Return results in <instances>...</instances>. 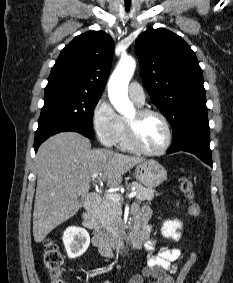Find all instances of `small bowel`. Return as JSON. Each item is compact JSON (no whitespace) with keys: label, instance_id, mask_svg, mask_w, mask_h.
Returning a JSON list of instances; mask_svg holds the SVG:
<instances>
[{"label":"small bowel","instance_id":"c3829d8e","mask_svg":"<svg viewBox=\"0 0 233 283\" xmlns=\"http://www.w3.org/2000/svg\"><path fill=\"white\" fill-rule=\"evenodd\" d=\"M134 222L135 226L140 227L145 235L144 246L150 252L147 266L142 274L134 276L130 283H143L144 278H149L150 283H174L173 275L178 271V261L181 257L179 248H170L167 246L160 247L156 254L153 252L156 249L157 241L148 237L150 232L149 221L152 216V211L148 206L134 207ZM92 244L98 247L100 253L108 258H113V252L110 248H103L100 238L94 234ZM104 283H111L105 281Z\"/></svg>","mask_w":233,"mask_h":283}]
</instances>
